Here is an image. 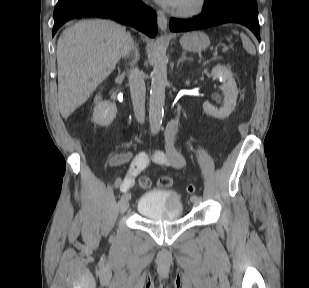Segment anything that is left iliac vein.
I'll return each mask as SVG.
<instances>
[{"mask_svg":"<svg viewBox=\"0 0 309 288\" xmlns=\"http://www.w3.org/2000/svg\"><path fill=\"white\" fill-rule=\"evenodd\" d=\"M194 205H199L201 202L200 198H196L195 200H191Z\"/></svg>","mask_w":309,"mask_h":288,"instance_id":"1","label":"left iliac vein"}]
</instances>
